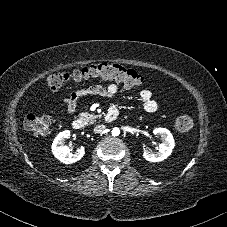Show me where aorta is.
<instances>
[{
	"instance_id": "obj_1",
	"label": "aorta",
	"mask_w": 227,
	"mask_h": 227,
	"mask_svg": "<svg viewBox=\"0 0 227 227\" xmlns=\"http://www.w3.org/2000/svg\"><path fill=\"white\" fill-rule=\"evenodd\" d=\"M119 134H120L119 128H113V130H112V135H113V136H118Z\"/></svg>"
}]
</instances>
